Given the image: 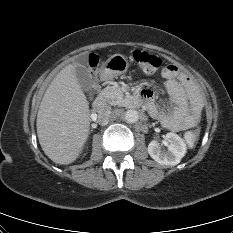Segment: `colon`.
<instances>
[{
    "mask_svg": "<svg viewBox=\"0 0 233 233\" xmlns=\"http://www.w3.org/2000/svg\"><path fill=\"white\" fill-rule=\"evenodd\" d=\"M133 57L137 65L146 73H154L161 66V59L158 56L143 50H136ZM184 139L189 146H192L195 143L196 134L188 132Z\"/></svg>",
    "mask_w": 233,
    "mask_h": 233,
    "instance_id": "obj_1",
    "label": "colon"
}]
</instances>
